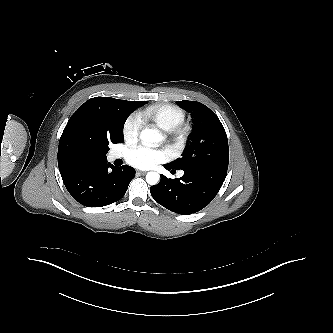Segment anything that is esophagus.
<instances>
[{"label":"esophagus","mask_w":333,"mask_h":333,"mask_svg":"<svg viewBox=\"0 0 333 333\" xmlns=\"http://www.w3.org/2000/svg\"><path fill=\"white\" fill-rule=\"evenodd\" d=\"M146 172L144 171H136V176L144 175Z\"/></svg>","instance_id":"1"}]
</instances>
